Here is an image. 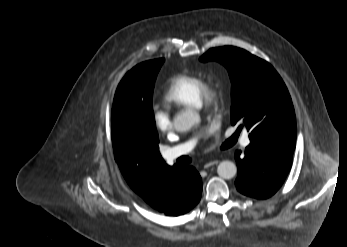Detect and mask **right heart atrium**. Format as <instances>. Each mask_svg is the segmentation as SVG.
<instances>
[{"mask_svg": "<svg viewBox=\"0 0 347 247\" xmlns=\"http://www.w3.org/2000/svg\"><path fill=\"white\" fill-rule=\"evenodd\" d=\"M153 122L156 128L165 133L169 132L173 127V122L169 114L161 109H156L153 112Z\"/></svg>", "mask_w": 347, "mask_h": 247, "instance_id": "obj_1", "label": "right heart atrium"}]
</instances>
